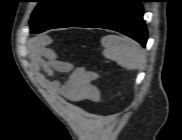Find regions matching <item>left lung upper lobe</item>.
<instances>
[{
	"instance_id": "1",
	"label": "left lung upper lobe",
	"mask_w": 182,
	"mask_h": 140,
	"mask_svg": "<svg viewBox=\"0 0 182 140\" xmlns=\"http://www.w3.org/2000/svg\"><path fill=\"white\" fill-rule=\"evenodd\" d=\"M105 0H38L30 19L32 34L69 27Z\"/></svg>"
}]
</instances>
